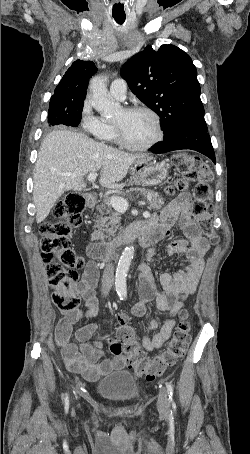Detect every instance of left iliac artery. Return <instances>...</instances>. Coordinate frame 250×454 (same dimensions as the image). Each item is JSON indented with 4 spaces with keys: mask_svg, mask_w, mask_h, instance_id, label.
Instances as JSON below:
<instances>
[{
    "mask_svg": "<svg viewBox=\"0 0 250 454\" xmlns=\"http://www.w3.org/2000/svg\"><path fill=\"white\" fill-rule=\"evenodd\" d=\"M166 388L169 394V401L173 402V393H174V388L173 385L170 383H166Z\"/></svg>",
    "mask_w": 250,
    "mask_h": 454,
    "instance_id": "1",
    "label": "left iliac artery"
}]
</instances>
